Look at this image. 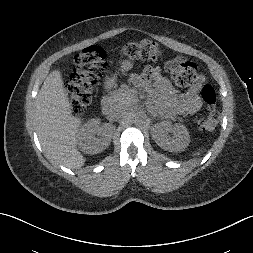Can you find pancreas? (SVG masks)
Masks as SVG:
<instances>
[{
	"instance_id": "cf45deb5",
	"label": "pancreas",
	"mask_w": 253,
	"mask_h": 253,
	"mask_svg": "<svg viewBox=\"0 0 253 253\" xmlns=\"http://www.w3.org/2000/svg\"><path fill=\"white\" fill-rule=\"evenodd\" d=\"M108 102L110 103H118V104H123V105H128L132 102V94L128 88V86L123 85L121 86L118 90L113 91L110 96L108 97ZM159 113L161 115H164L162 111L159 110ZM167 118H172L175 119L170 114L164 115ZM182 120V119H181Z\"/></svg>"
}]
</instances>
